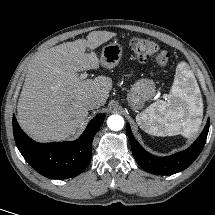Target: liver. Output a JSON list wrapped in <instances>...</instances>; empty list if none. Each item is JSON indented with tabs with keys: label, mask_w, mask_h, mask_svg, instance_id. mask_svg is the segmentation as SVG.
I'll list each match as a JSON object with an SVG mask.
<instances>
[{
	"label": "liver",
	"mask_w": 215,
	"mask_h": 215,
	"mask_svg": "<svg viewBox=\"0 0 215 215\" xmlns=\"http://www.w3.org/2000/svg\"><path fill=\"white\" fill-rule=\"evenodd\" d=\"M115 36L114 32L93 31L87 39L62 43L33 56L17 104L18 122L30 137L39 142L67 139L87 118L89 98L105 104L112 80L105 76L83 80L77 72L98 69L97 54L85 53L86 48L93 50Z\"/></svg>",
	"instance_id": "liver-1"
}]
</instances>
